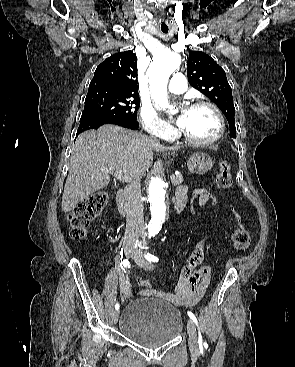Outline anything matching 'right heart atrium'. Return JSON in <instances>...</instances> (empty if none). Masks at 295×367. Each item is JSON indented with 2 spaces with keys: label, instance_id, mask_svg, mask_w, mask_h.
<instances>
[{
  "label": "right heart atrium",
  "instance_id": "1",
  "mask_svg": "<svg viewBox=\"0 0 295 367\" xmlns=\"http://www.w3.org/2000/svg\"><path fill=\"white\" fill-rule=\"evenodd\" d=\"M140 122L143 129L153 136L169 138L174 134L172 127L164 122L151 106L141 107Z\"/></svg>",
  "mask_w": 295,
  "mask_h": 367
}]
</instances>
